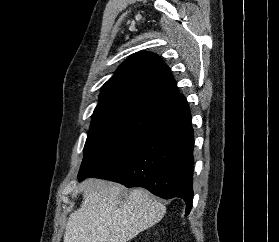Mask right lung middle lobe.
I'll return each instance as SVG.
<instances>
[{
  "instance_id": "dd1d6c3e",
  "label": "right lung middle lobe",
  "mask_w": 279,
  "mask_h": 242,
  "mask_svg": "<svg viewBox=\"0 0 279 242\" xmlns=\"http://www.w3.org/2000/svg\"><path fill=\"white\" fill-rule=\"evenodd\" d=\"M159 122V115L146 112L94 114L78 179L94 177L104 172L145 141Z\"/></svg>"
}]
</instances>
